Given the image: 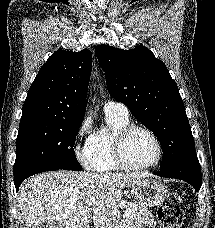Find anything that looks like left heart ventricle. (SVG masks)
Returning a JSON list of instances; mask_svg holds the SVG:
<instances>
[{
	"instance_id": "b2bd125f",
	"label": "left heart ventricle",
	"mask_w": 215,
	"mask_h": 228,
	"mask_svg": "<svg viewBox=\"0 0 215 228\" xmlns=\"http://www.w3.org/2000/svg\"><path fill=\"white\" fill-rule=\"evenodd\" d=\"M124 155L131 165L146 164L156 156L155 144L146 132L134 130L124 144Z\"/></svg>"
}]
</instances>
